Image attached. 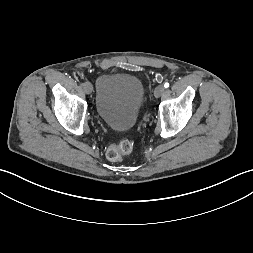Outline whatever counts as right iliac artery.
Segmentation results:
<instances>
[{
    "label": "right iliac artery",
    "mask_w": 253,
    "mask_h": 253,
    "mask_svg": "<svg viewBox=\"0 0 253 253\" xmlns=\"http://www.w3.org/2000/svg\"><path fill=\"white\" fill-rule=\"evenodd\" d=\"M85 84H86V82H82L80 85H81L82 87H84Z\"/></svg>",
    "instance_id": "obj_1"
}]
</instances>
